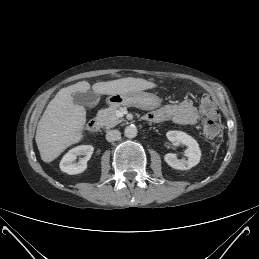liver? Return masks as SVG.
<instances>
[{"instance_id":"1","label":"liver","mask_w":259,"mask_h":259,"mask_svg":"<svg viewBox=\"0 0 259 259\" xmlns=\"http://www.w3.org/2000/svg\"><path fill=\"white\" fill-rule=\"evenodd\" d=\"M156 87L153 82L141 78H121L98 82L92 86L96 94L113 95L142 91ZM91 88L87 81L62 88L50 101L39 120L35 141L44 162L56 159L66 148L82 139V129L86 122V110L75 104L72 94L85 93Z\"/></svg>"}]
</instances>
